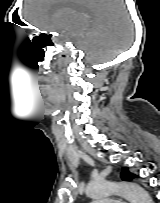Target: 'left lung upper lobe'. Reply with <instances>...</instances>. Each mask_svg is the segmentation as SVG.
Segmentation results:
<instances>
[{
    "label": "left lung upper lobe",
    "instance_id": "1",
    "mask_svg": "<svg viewBox=\"0 0 160 203\" xmlns=\"http://www.w3.org/2000/svg\"><path fill=\"white\" fill-rule=\"evenodd\" d=\"M135 177V175L131 174L126 167L122 169L121 178L122 180L130 181Z\"/></svg>",
    "mask_w": 160,
    "mask_h": 203
}]
</instances>
